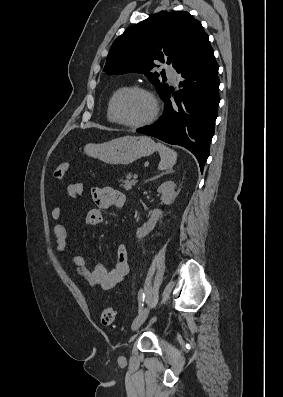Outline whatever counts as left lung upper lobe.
Segmentation results:
<instances>
[{"label":"left lung upper lobe","mask_w":283,"mask_h":397,"mask_svg":"<svg viewBox=\"0 0 283 397\" xmlns=\"http://www.w3.org/2000/svg\"><path fill=\"white\" fill-rule=\"evenodd\" d=\"M208 45L201 23L188 12L160 11L129 27L114 41L103 71L143 73L162 96L168 85L159 81L157 72H151L156 63H167L177 71Z\"/></svg>","instance_id":"5c2ea615"}]
</instances>
